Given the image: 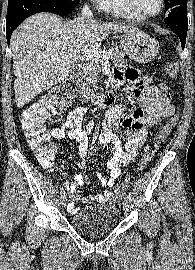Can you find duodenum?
Segmentation results:
<instances>
[{
    "label": "duodenum",
    "mask_w": 195,
    "mask_h": 270,
    "mask_svg": "<svg viewBox=\"0 0 195 270\" xmlns=\"http://www.w3.org/2000/svg\"><path fill=\"white\" fill-rule=\"evenodd\" d=\"M81 72H82V65H78L75 70L74 76L76 78H79ZM79 97L82 101H90L94 99V94L90 89L81 88L79 90ZM113 100L114 99L111 94L103 95L97 99L98 103L104 106L112 104Z\"/></svg>",
    "instance_id": "duodenum-1"
}]
</instances>
